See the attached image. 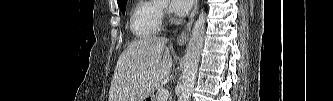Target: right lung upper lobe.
Instances as JSON below:
<instances>
[{"instance_id":"cb5924a9","label":"right lung upper lobe","mask_w":333,"mask_h":101,"mask_svg":"<svg viewBox=\"0 0 333 101\" xmlns=\"http://www.w3.org/2000/svg\"><path fill=\"white\" fill-rule=\"evenodd\" d=\"M126 0H118V5L125 2Z\"/></svg>"}]
</instances>
